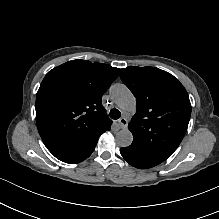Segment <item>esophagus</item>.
Listing matches in <instances>:
<instances>
[{"instance_id":"obj_1","label":"esophagus","mask_w":219,"mask_h":219,"mask_svg":"<svg viewBox=\"0 0 219 219\" xmlns=\"http://www.w3.org/2000/svg\"><path fill=\"white\" fill-rule=\"evenodd\" d=\"M120 128H126L128 126V121L125 117H122L118 120Z\"/></svg>"}]
</instances>
